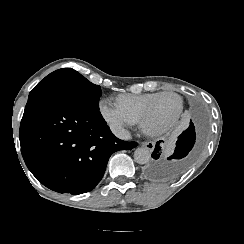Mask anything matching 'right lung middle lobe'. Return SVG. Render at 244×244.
I'll return each instance as SVG.
<instances>
[{
	"label": "right lung middle lobe",
	"mask_w": 244,
	"mask_h": 244,
	"mask_svg": "<svg viewBox=\"0 0 244 244\" xmlns=\"http://www.w3.org/2000/svg\"><path fill=\"white\" fill-rule=\"evenodd\" d=\"M101 87L89 82L71 68L46 76L29 94L28 100L55 99L89 110H99Z\"/></svg>",
	"instance_id": "obj_1"
}]
</instances>
